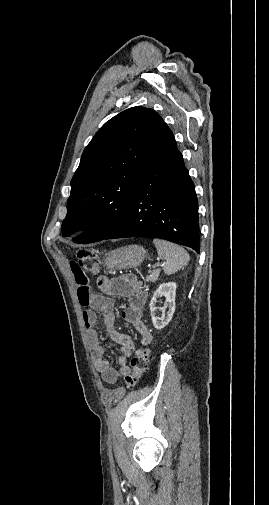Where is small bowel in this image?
Segmentation results:
<instances>
[{
    "label": "small bowel",
    "instance_id": "obj_1",
    "mask_svg": "<svg viewBox=\"0 0 269 505\" xmlns=\"http://www.w3.org/2000/svg\"><path fill=\"white\" fill-rule=\"evenodd\" d=\"M70 267L73 275L75 273L74 278L77 283L79 302L82 306L89 307L83 311L82 316L95 367L106 383H116L120 376H124L129 371L127 363L135 345L130 335L121 333L115 328L113 298L124 297L128 300V307L122 312V317L140 335L142 345H149L153 341V335L143 321V308L147 299V291L143 284L138 282L136 277L131 274L113 279L100 277L101 272L99 274H86L84 269L80 268L77 260H72ZM88 279H98V287L104 294H91ZM95 311L102 313V320L108 334L120 347L117 367L111 366L104 358L107 348L99 340L95 329L97 321Z\"/></svg>",
    "mask_w": 269,
    "mask_h": 505
}]
</instances>
